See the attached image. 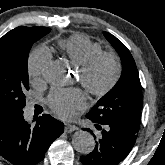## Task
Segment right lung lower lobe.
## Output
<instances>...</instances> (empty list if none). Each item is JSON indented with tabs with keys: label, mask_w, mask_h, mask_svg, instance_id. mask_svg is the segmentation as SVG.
Returning <instances> with one entry per match:
<instances>
[{
	"label": "right lung lower lobe",
	"mask_w": 165,
	"mask_h": 165,
	"mask_svg": "<svg viewBox=\"0 0 165 165\" xmlns=\"http://www.w3.org/2000/svg\"><path fill=\"white\" fill-rule=\"evenodd\" d=\"M64 124L48 114L28 124L23 112L0 117V155L14 165H36L44 159Z\"/></svg>",
	"instance_id": "1"
}]
</instances>
